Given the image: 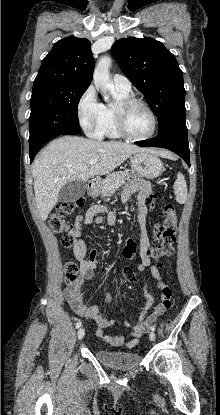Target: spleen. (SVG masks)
<instances>
[{"label": "spleen", "mask_w": 220, "mask_h": 415, "mask_svg": "<svg viewBox=\"0 0 220 415\" xmlns=\"http://www.w3.org/2000/svg\"><path fill=\"white\" fill-rule=\"evenodd\" d=\"M174 192L176 195V201L178 203H185L187 200V184L184 176L179 172L177 174V180L174 183Z\"/></svg>", "instance_id": "obj_1"}]
</instances>
